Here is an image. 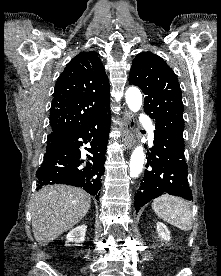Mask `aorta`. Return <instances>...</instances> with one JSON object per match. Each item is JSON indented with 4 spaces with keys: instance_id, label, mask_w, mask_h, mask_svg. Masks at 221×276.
I'll list each match as a JSON object with an SVG mask.
<instances>
[{
    "instance_id": "1",
    "label": "aorta",
    "mask_w": 221,
    "mask_h": 276,
    "mask_svg": "<svg viewBox=\"0 0 221 276\" xmlns=\"http://www.w3.org/2000/svg\"><path fill=\"white\" fill-rule=\"evenodd\" d=\"M126 103L129 109L133 112L140 110L142 106V94L138 88L130 87L125 93ZM145 161L144 149L142 146H137L132 152L130 158V176L138 177L142 172Z\"/></svg>"
}]
</instances>
